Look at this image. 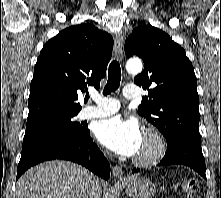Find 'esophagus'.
I'll return each instance as SVG.
<instances>
[{
  "label": "esophagus",
  "mask_w": 221,
  "mask_h": 198,
  "mask_svg": "<svg viewBox=\"0 0 221 198\" xmlns=\"http://www.w3.org/2000/svg\"><path fill=\"white\" fill-rule=\"evenodd\" d=\"M116 52L119 60L123 61V36L121 32L115 34ZM112 176L115 180H122L123 170L120 166L116 165L112 169Z\"/></svg>",
  "instance_id": "esophagus-1"
}]
</instances>
